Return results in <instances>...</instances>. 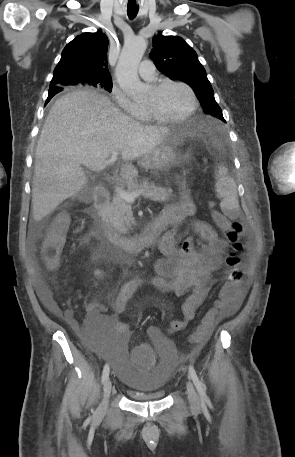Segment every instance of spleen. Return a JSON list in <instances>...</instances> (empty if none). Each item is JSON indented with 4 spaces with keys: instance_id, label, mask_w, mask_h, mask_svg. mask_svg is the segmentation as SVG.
Returning <instances> with one entry per match:
<instances>
[{
    "instance_id": "obj_1",
    "label": "spleen",
    "mask_w": 295,
    "mask_h": 457,
    "mask_svg": "<svg viewBox=\"0 0 295 457\" xmlns=\"http://www.w3.org/2000/svg\"><path fill=\"white\" fill-rule=\"evenodd\" d=\"M215 188L218 196L223 198L220 203L223 213L226 216L233 218L239 211L237 186L235 181L227 175V169L223 166H220L218 169Z\"/></svg>"
}]
</instances>
